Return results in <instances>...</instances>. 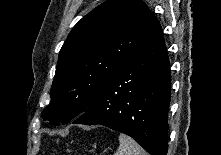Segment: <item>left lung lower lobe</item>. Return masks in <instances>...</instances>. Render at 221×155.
I'll return each mask as SVG.
<instances>
[{
  "mask_svg": "<svg viewBox=\"0 0 221 155\" xmlns=\"http://www.w3.org/2000/svg\"><path fill=\"white\" fill-rule=\"evenodd\" d=\"M171 75L158 22L73 123L100 124L131 136L151 155H167Z\"/></svg>",
  "mask_w": 221,
  "mask_h": 155,
  "instance_id": "left-lung-lower-lobe-1",
  "label": "left lung lower lobe"
}]
</instances>
